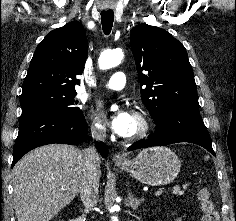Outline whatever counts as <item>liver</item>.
Returning <instances> with one entry per match:
<instances>
[{"label": "liver", "instance_id": "1", "mask_svg": "<svg viewBox=\"0 0 236 221\" xmlns=\"http://www.w3.org/2000/svg\"><path fill=\"white\" fill-rule=\"evenodd\" d=\"M82 175V151L74 146L51 144L31 151L13 169L17 220L50 221L79 193Z\"/></svg>", "mask_w": 236, "mask_h": 221}]
</instances>
